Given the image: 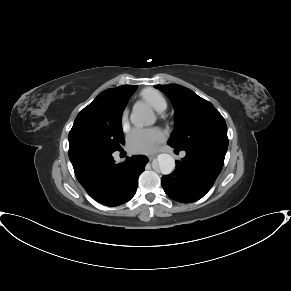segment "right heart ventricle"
Instances as JSON below:
<instances>
[{
    "mask_svg": "<svg viewBox=\"0 0 291 291\" xmlns=\"http://www.w3.org/2000/svg\"><path fill=\"white\" fill-rule=\"evenodd\" d=\"M141 98L147 101L156 111H164L166 108V101L162 94L155 89L146 88L141 94Z\"/></svg>",
    "mask_w": 291,
    "mask_h": 291,
    "instance_id": "right-heart-ventricle-1",
    "label": "right heart ventricle"
}]
</instances>
